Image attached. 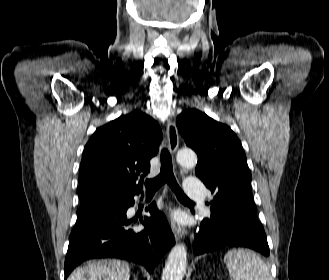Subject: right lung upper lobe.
<instances>
[{
	"label": "right lung upper lobe",
	"mask_w": 329,
	"mask_h": 280,
	"mask_svg": "<svg viewBox=\"0 0 329 280\" xmlns=\"http://www.w3.org/2000/svg\"><path fill=\"white\" fill-rule=\"evenodd\" d=\"M161 138L158 123L141 111L98 128L83 151L81 200L140 191L142 181L137 183V175L150 171V159L157 154Z\"/></svg>",
	"instance_id": "obj_1"
}]
</instances>
